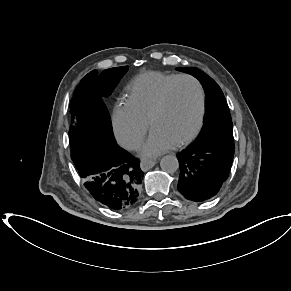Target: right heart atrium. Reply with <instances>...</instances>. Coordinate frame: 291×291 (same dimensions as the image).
<instances>
[{"mask_svg": "<svg viewBox=\"0 0 291 291\" xmlns=\"http://www.w3.org/2000/svg\"><path fill=\"white\" fill-rule=\"evenodd\" d=\"M113 128L116 138L124 147L136 150L146 136L148 123L136 116L127 102H121L114 110Z\"/></svg>", "mask_w": 291, "mask_h": 291, "instance_id": "right-heart-atrium-1", "label": "right heart atrium"}]
</instances>
